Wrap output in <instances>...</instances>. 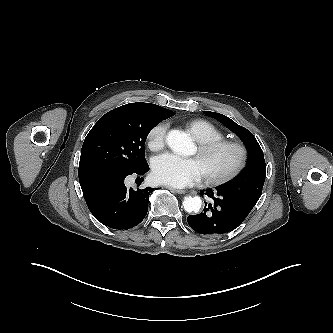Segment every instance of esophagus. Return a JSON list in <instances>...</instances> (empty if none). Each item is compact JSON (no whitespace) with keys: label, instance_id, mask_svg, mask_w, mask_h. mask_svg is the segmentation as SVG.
<instances>
[{"label":"esophagus","instance_id":"esophagus-1","mask_svg":"<svg viewBox=\"0 0 333 333\" xmlns=\"http://www.w3.org/2000/svg\"><path fill=\"white\" fill-rule=\"evenodd\" d=\"M166 188L169 189V190H171V191H173V192H175V193H178V194H185L186 193L185 190L176 189V188H173L171 186H167Z\"/></svg>","mask_w":333,"mask_h":333}]
</instances>
